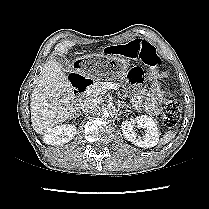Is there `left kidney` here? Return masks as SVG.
I'll use <instances>...</instances> for the list:
<instances>
[{
	"label": "left kidney",
	"instance_id": "obj_1",
	"mask_svg": "<svg viewBox=\"0 0 209 209\" xmlns=\"http://www.w3.org/2000/svg\"><path fill=\"white\" fill-rule=\"evenodd\" d=\"M135 123L145 130V135L137 136L134 131V122L126 120L122 123L121 129L128 141L141 148L154 147L159 143L160 134L156 120L147 115H141L135 118Z\"/></svg>",
	"mask_w": 209,
	"mask_h": 209
}]
</instances>
